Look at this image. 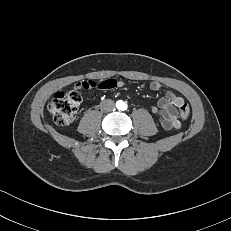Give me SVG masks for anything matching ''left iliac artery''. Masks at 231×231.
Wrapping results in <instances>:
<instances>
[{"instance_id":"1","label":"left iliac artery","mask_w":231,"mask_h":231,"mask_svg":"<svg viewBox=\"0 0 231 231\" xmlns=\"http://www.w3.org/2000/svg\"><path fill=\"white\" fill-rule=\"evenodd\" d=\"M123 110H126L127 109V105L124 104L123 107H122Z\"/></svg>"}]
</instances>
